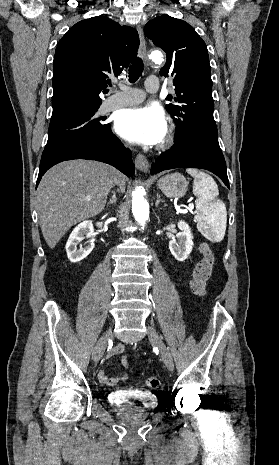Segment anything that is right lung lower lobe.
Wrapping results in <instances>:
<instances>
[{"label":"right lung lower lobe","mask_w":279,"mask_h":465,"mask_svg":"<svg viewBox=\"0 0 279 465\" xmlns=\"http://www.w3.org/2000/svg\"><path fill=\"white\" fill-rule=\"evenodd\" d=\"M72 159H89L113 165L128 177L132 176L135 166L131 151L126 149L112 131L97 137H81L69 142L50 155L41 159L38 185L44 173L53 165Z\"/></svg>","instance_id":"98d812e1"}]
</instances>
